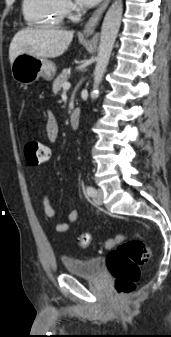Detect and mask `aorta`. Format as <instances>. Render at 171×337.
Instances as JSON below:
<instances>
[{"label":"aorta","mask_w":171,"mask_h":337,"mask_svg":"<svg viewBox=\"0 0 171 337\" xmlns=\"http://www.w3.org/2000/svg\"><path fill=\"white\" fill-rule=\"evenodd\" d=\"M122 13V0H115L105 15L101 28L96 66L93 74L94 84L91 92L92 99L98 97V88L109 63L111 52L121 25Z\"/></svg>","instance_id":"1"}]
</instances>
